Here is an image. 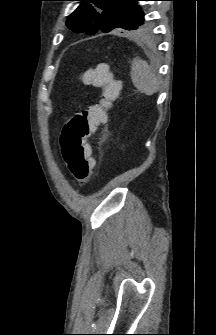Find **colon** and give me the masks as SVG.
I'll use <instances>...</instances> for the list:
<instances>
[{
	"instance_id": "1",
	"label": "colon",
	"mask_w": 216,
	"mask_h": 335,
	"mask_svg": "<svg viewBox=\"0 0 216 335\" xmlns=\"http://www.w3.org/2000/svg\"><path fill=\"white\" fill-rule=\"evenodd\" d=\"M83 79L101 89V99L97 104L70 117L62 129L59 143L68 170L78 182L85 185L90 181L95 166L87 139L98 125L106 121L109 109L120 95L122 80L115 78L109 66L104 63L88 68Z\"/></svg>"
}]
</instances>
